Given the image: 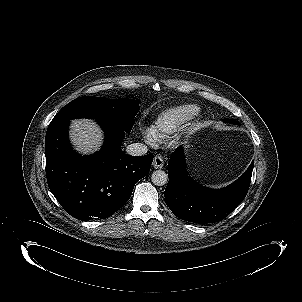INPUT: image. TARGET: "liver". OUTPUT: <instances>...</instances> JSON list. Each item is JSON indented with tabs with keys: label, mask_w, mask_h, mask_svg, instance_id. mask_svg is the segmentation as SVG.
Masks as SVG:
<instances>
[{
	"label": "liver",
	"mask_w": 302,
	"mask_h": 302,
	"mask_svg": "<svg viewBox=\"0 0 302 302\" xmlns=\"http://www.w3.org/2000/svg\"><path fill=\"white\" fill-rule=\"evenodd\" d=\"M102 131L99 126L87 119L73 120L70 129L71 141L76 149L83 153L93 152L102 143Z\"/></svg>",
	"instance_id": "obj_1"
}]
</instances>
